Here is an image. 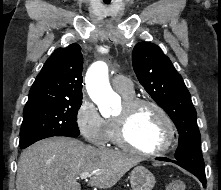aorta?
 <instances>
[{
	"label": "aorta",
	"instance_id": "obj_1",
	"mask_svg": "<svg viewBox=\"0 0 221 190\" xmlns=\"http://www.w3.org/2000/svg\"><path fill=\"white\" fill-rule=\"evenodd\" d=\"M85 83L87 92L98 105L101 115L109 117L113 104L118 101V96L110 86L106 63L102 61L93 63L86 74Z\"/></svg>",
	"mask_w": 221,
	"mask_h": 190
}]
</instances>
